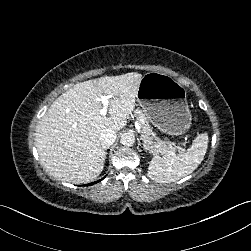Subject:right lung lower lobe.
Here are the masks:
<instances>
[{"instance_id": "98d812e1", "label": "right lung lower lobe", "mask_w": 251, "mask_h": 251, "mask_svg": "<svg viewBox=\"0 0 251 251\" xmlns=\"http://www.w3.org/2000/svg\"><path fill=\"white\" fill-rule=\"evenodd\" d=\"M102 180V179H101ZM101 180H98V181H96V182H93V183H89V184H87L86 186H90V185H93L94 183H97V182H99V181H101Z\"/></svg>"}]
</instances>
